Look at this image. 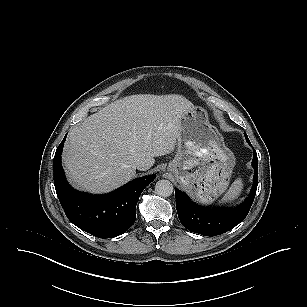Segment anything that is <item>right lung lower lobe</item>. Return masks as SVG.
Masks as SVG:
<instances>
[{
	"instance_id": "98d812e1",
	"label": "right lung lower lobe",
	"mask_w": 307,
	"mask_h": 307,
	"mask_svg": "<svg viewBox=\"0 0 307 307\" xmlns=\"http://www.w3.org/2000/svg\"><path fill=\"white\" fill-rule=\"evenodd\" d=\"M65 138L54 156V185L66 216L78 228L99 238L125 233L135 222L140 194L156 176L153 174L134 179L105 195L76 191L68 184L61 165Z\"/></svg>"
}]
</instances>
